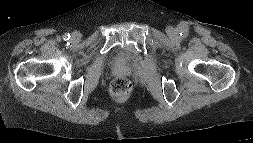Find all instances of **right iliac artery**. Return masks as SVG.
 Masks as SVG:
<instances>
[{"label": "right iliac artery", "instance_id": "right-iliac-artery-1", "mask_svg": "<svg viewBox=\"0 0 253 143\" xmlns=\"http://www.w3.org/2000/svg\"><path fill=\"white\" fill-rule=\"evenodd\" d=\"M65 38H66V39H69V38H70V34H66V35H65ZM65 38H64V39H65Z\"/></svg>", "mask_w": 253, "mask_h": 143}]
</instances>
